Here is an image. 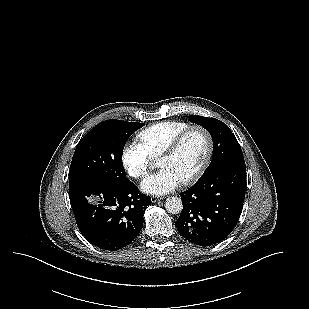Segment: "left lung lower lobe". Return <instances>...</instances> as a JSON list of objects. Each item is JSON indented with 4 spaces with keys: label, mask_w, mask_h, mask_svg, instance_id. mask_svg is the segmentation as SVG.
<instances>
[{
    "label": "left lung lower lobe",
    "mask_w": 309,
    "mask_h": 309,
    "mask_svg": "<svg viewBox=\"0 0 309 309\" xmlns=\"http://www.w3.org/2000/svg\"><path fill=\"white\" fill-rule=\"evenodd\" d=\"M246 188L244 159L227 162L203 174L180 193L183 210L178 232L200 246L215 245L234 229L241 214Z\"/></svg>",
    "instance_id": "obj_1"
}]
</instances>
